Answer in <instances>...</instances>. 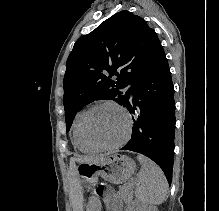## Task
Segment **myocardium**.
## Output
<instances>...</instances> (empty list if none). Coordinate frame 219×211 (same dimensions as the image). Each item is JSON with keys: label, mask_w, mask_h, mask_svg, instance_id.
Here are the masks:
<instances>
[{"label": "myocardium", "mask_w": 219, "mask_h": 211, "mask_svg": "<svg viewBox=\"0 0 219 211\" xmlns=\"http://www.w3.org/2000/svg\"><path fill=\"white\" fill-rule=\"evenodd\" d=\"M101 106H112L116 109H118L120 112L123 113V115L126 118V130L124 135L122 136V138L113 144H98L95 143L88 135V131H87V122H88V118L90 116V114L98 107ZM81 135L84 139V141L91 147L98 149V150H111V149H116L121 147L123 144H125L129 137H130V133H131V128H132V118L130 113L121 105L113 102V101H101L98 103H95L94 105H92L91 107H89L83 114L82 116V120H81Z\"/></svg>", "instance_id": "1"}]
</instances>
